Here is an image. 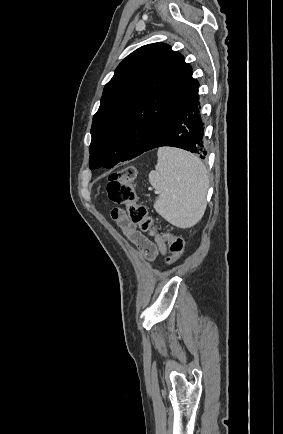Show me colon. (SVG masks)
Instances as JSON below:
<instances>
[{"label": "colon", "mask_w": 283, "mask_h": 434, "mask_svg": "<svg viewBox=\"0 0 283 434\" xmlns=\"http://www.w3.org/2000/svg\"><path fill=\"white\" fill-rule=\"evenodd\" d=\"M135 177L136 169L133 166H127L112 173L107 183L108 197L115 204L126 207L128 218L132 223L138 225L142 231L153 234L157 227L148 215L146 207L137 201V195L133 188ZM161 238L169 247L167 263L171 265L177 262L184 252V240L171 232L162 233Z\"/></svg>", "instance_id": "1"}]
</instances>
